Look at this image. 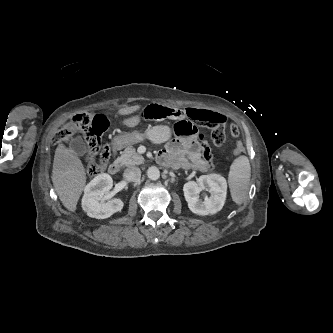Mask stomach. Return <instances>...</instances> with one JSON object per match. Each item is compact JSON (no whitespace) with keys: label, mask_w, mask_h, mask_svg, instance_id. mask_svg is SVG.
I'll list each match as a JSON object with an SVG mask.
<instances>
[{"label":"stomach","mask_w":333,"mask_h":333,"mask_svg":"<svg viewBox=\"0 0 333 333\" xmlns=\"http://www.w3.org/2000/svg\"><path fill=\"white\" fill-rule=\"evenodd\" d=\"M172 135L171 129L165 125L149 127L144 133L139 131H130L118 134L113 138V145L116 147H124L131 144L142 142L149 139L154 143H164L170 140Z\"/></svg>","instance_id":"stomach-1"}]
</instances>
